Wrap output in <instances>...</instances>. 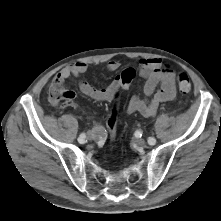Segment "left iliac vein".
I'll list each match as a JSON object with an SVG mask.
<instances>
[{
	"mask_svg": "<svg viewBox=\"0 0 221 221\" xmlns=\"http://www.w3.org/2000/svg\"><path fill=\"white\" fill-rule=\"evenodd\" d=\"M153 140L156 141L155 138H153ZM135 143L138 146H144L146 144V141L143 138H137V139H135Z\"/></svg>",
	"mask_w": 221,
	"mask_h": 221,
	"instance_id": "4c4485c4",
	"label": "left iliac vein"
}]
</instances>
